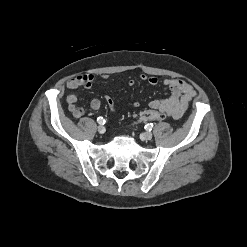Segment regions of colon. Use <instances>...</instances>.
Masks as SVG:
<instances>
[{
    "label": "colon",
    "instance_id": "colon-1",
    "mask_svg": "<svg viewBox=\"0 0 247 247\" xmlns=\"http://www.w3.org/2000/svg\"><path fill=\"white\" fill-rule=\"evenodd\" d=\"M165 118V115L155 109H148L139 114L138 119L140 121H160Z\"/></svg>",
    "mask_w": 247,
    "mask_h": 247
}]
</instances>
